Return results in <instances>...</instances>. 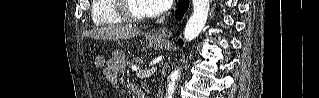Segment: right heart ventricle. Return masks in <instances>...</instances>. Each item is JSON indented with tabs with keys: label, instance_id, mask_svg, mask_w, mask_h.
<instances>
[{
	"label": "right heart ventricle",
	"instance_id": "e07e8e85",
	"mask_svg": "<svg viewBox=\"0 0 319 98\" xmlns=\"http://www.w3.org/2000/svg\"><path fill=\"white\" fill-rule=\"evenodd\" d=\"M115 0H94L91 7V18L97 26L121 24L123 20L115 10Z\"/></svg>",
	"mask_w": 319,
	"mask_h": 98
}]
</instances>
